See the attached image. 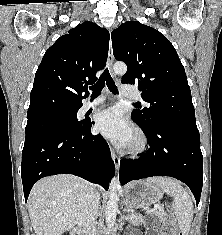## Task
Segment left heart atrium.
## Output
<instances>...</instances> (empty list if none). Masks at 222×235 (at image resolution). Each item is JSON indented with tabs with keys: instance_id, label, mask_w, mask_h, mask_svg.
Listing matches in <instances>:
<instances>
[{
	"instance_id": "obj_1",
	"label": "left heart atrium",
	"mask_w": 222,
	"mask_h": 235,
	"mask_svg": "<svg viewBox=\"0 0 222 235\" xmlns=\"http://www.w3.org/2000/svg\"><path fill=\"white\" fill-rule=\"evenodd\" d=\"M96 128L104 136L121 146L132 142L134 132L118 108L101 111L96 118Z\"/></svg>"
}]
</instances>
